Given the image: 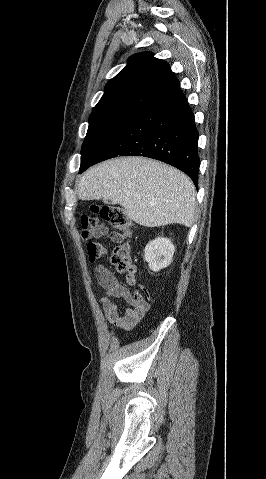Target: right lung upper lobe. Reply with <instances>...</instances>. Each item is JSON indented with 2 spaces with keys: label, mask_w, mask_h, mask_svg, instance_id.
I'll return each mask as SVG.
<instances>
[{
  "label": "right lung upper lobe",
  "mask_w": 266,
  "mask_h": 479,
  "mask_svg": "<svg viewBox=\"0 0 266 479\" xmlns=\"http://www.w3.org/2000/svg\"><path fill=\"white\" fill-rule=\"evenodd\" d=\"M180 86L167 62L152 52L134 54L128 65L105 86L104 95L90 116L118 111H141L151 102Z\"/></svg>",
  "instance_id": "cb5924a9"
}]
</instances>
